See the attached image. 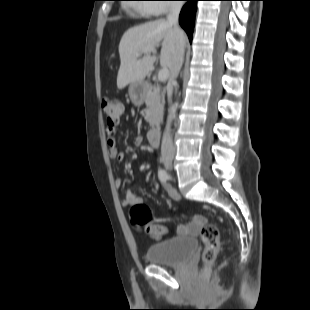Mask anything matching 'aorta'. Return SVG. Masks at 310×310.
<instances>
[{
    "label": "aorta",
    "instance_id": "762f6f07",
    "mask_svg": "<svg viewBox=\"0 0 310 310\" xmlns=\"http://www.w3.org/2000/svg\"><path fill=\"white\" fill-rule=\"evenodd\" d=\"M178 107V102H176L172 107L170 108V115L168 121H171L173 118H175L176 111Z\"/></svg>",
    "mask_w": 310,
    "mask_h": 310
}]
</instances>
